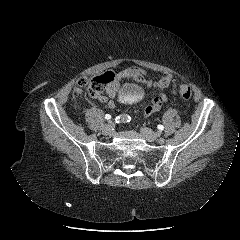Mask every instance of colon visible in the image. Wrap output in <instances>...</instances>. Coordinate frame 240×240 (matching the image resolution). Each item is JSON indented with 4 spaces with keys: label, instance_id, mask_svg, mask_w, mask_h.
Returning a JSON list of instances; mask_svg holds the SVG:
<instances>
[{
    "label": "colon",
    "instance_id": "1",
    "mask_svg": "<svg viewBox=\"0 0 240 240\" xmlns=\"http://www.w3.org/2000/svg\"><path fill=\"white\" fill-rule=\"evenodd\" d=\"M113 78L112 72H106L102 75L82 80L77 91L80 93L85 89L90 96L97 97L101 95L104 89L113 81ZM176 89L183 99L189 100L191 98L192 91L189 86L180 84L176 86Z\"/></svg>",
    "mask_w": 240,
    "mask_h": 240
}]
</instances>
